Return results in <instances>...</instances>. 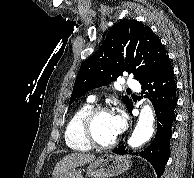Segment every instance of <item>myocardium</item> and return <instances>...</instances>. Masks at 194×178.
<instances>
[{
    "label": "myocardium",
    "instance_id": "f54148a6",
    "mask_svg": "<svg viewBox=\"0 0 194 178\" xmlns=\"http://www.w3.org/2000/svg\"><path fill=\"white\" fill-rule=\"evenodd\" d=\"M109 113L112 114V110L106 106H94L83 117L81 122V134L84 140L92 147L100 149H109L115 146L119 141V136H116L112 141L108 143H101L96 140L93 134V123L95 118L99 114Z\"/></svg>",
    "mask_w": 194,
    "mask_h": 178
}]
</instances>
